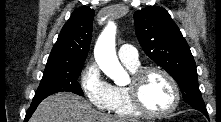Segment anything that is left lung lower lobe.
I'll use <instances>...</instances> for the list:
<instances>
[{
	"label": "left lung lower lobe",
	"mask_w": 221,
	"mask_h": 122,
	"mask_svg": "<svg viewBox=\"0 0 221 122\" xmlns=\"http://www.w3.org/2000/svg\"><path fill=\"white\" fill-rule=\"evenodd\" d=\"M195 109L199 110V111L202 112L207 118H209L208 113H207V110L205 109V107H198V108H195Z\"/></svg>",
	"instance_id": "1"
}]
</instances>
